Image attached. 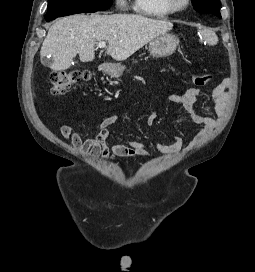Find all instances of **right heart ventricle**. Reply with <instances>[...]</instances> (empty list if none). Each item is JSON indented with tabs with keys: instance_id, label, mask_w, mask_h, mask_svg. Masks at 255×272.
<instances>
[{
	"instance_id": "right-heart-ventricle-1",
	"label": "right heart ventricle",
	"mask_w": 255,
	"mask_h": 272,
	"mask_svg": "<svg viewBox=\"0 0 255 272\" xmlns=\"http://www.w3.org/2000/svg\"><path fill=\"white\" fill-rule=\"evenodd\" d=\"M133 6L136 12L146 16L163 18L173 14L163 0H134Z\"/></svg>"
}]
</instances>
